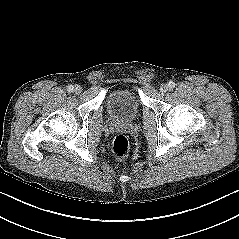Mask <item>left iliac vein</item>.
Segmentation results:
<instances>
[{"label":"left iliac vein","mask_w":239,"mask_h":239,"mask_svg":"<svg viewBox=\"0 0 239 239\" xmlns=\"http://www.w3.org/2000/svg\"><path fill=\"white\" fill-rule=\"evenodd\" d=\"M167 90H168V86L166 84H162L160 86V93L164 94L167 92Z\"/></svg>","instance_id":"left-iliac-vein-1"}]
</instances>
